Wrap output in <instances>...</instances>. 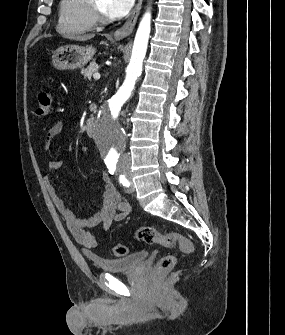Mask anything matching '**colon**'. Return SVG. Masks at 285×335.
I'll return each mask as SVG.
<instances>
[{
    "label": "colon",
    "instance_id": "colon-1",
    "mask_svg": "<svg viewBox=\"0 0 285 335\" xmlns=\"http://www.w3.org/2000/svg\"><path fill=\"white\" fill-rule=\"evenodd\" d=\"M52 106V94L49 89L44 88L38 94V102L36 113L39 116L47 115ZM136 238L147 244H160L165 247L177 246L179 250L185 254L190 255L194 252L193 243L176 232H169L166 234L160 233L153 226H142L136 230ZM113 253L116 256H125L128 253L127 246L123 244H117L113 248ZM176 264V257L168 255L163 257L156 266V274L163 276L171 271Z\"/></svg>",
    "mask_w": 285,
    "mask_h": 335
}]
</instances>
